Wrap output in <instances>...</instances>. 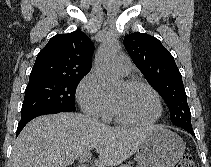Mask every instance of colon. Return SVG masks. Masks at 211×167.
<instances>
[{
    "label": "colon",
    "instance_id": "5ec220e1",
    "mask_svg": "<svg viewBox=\"0 0 211 167\" xmlns=\"http://www.w3.org/2000/svg\"><path fill=\"white\" fill-rule=\"evenodd\" d=\"M177 167H197L196 162L194 161V158L191 154H185Z\"/></svg>",
    "mask_w": 211,
    "mask_h": 167
}]
</instances>
